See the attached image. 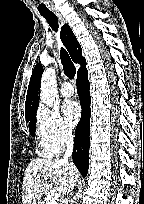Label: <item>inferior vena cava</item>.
Returning a JSON list of instances; mask_svg holds the SVG:
<instances>
[{
  "mask_svg": "<svg viewBox=\"0 0 144 204\" xmlns=\"http://www.w3.org/2000/svg\"><path fill=\"white\" fill-rule=\"evenodd\" d=\"M66 151L64 154L63 161L68 162V159L72 156L74 139L71 131L67 132L65 135ZM72 164V163H71Z\"/></svg>",
  "mask_w": 144,
  "mask_h": 204,
  "instance_id": "obj_1",
  "label": "inferior vena cava"
}]
</instances>
